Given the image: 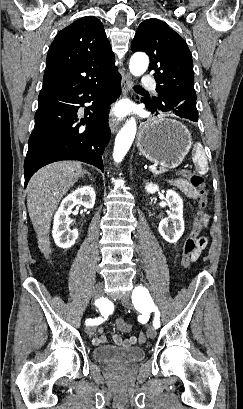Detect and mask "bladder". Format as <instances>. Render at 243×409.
I'll return each instance as SVG.
<instances>
[{"label":"bladder","mask_w":243,"mask_h":409,"mask_svg":"<svg viewBox=\"0 0 243 409\" xmlns=\"http://www.w3.org/2000/svg\"><path fill=\"white\" fill-rule=\"evenodd\" d=\"M93 357L101 363L133 364L143 360L145 350L141 347H116L102 345L94 348Z\"/></svg>","instance_id":"obj_1"}]
</instances>
